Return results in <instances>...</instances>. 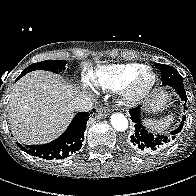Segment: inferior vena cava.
Segmentation results:
<instances>
[{
  "instance_id": "obj_1",
  "label": "inferior vena cava",
  "mask_w": 196,
  "mask_h": 196,
  "mask_svg": "<svg viewBox=\"0 0 196 196\" xmlns=\"http://www.w3.org/2000/svg\"><path fill=\"white\" fill-rule=\"evenodd\" d=\"M72 108L76 111H89L93 107V103L91 101V98L84 94H78L73 100H72Z\"/></svg>"
}]
</instances>
